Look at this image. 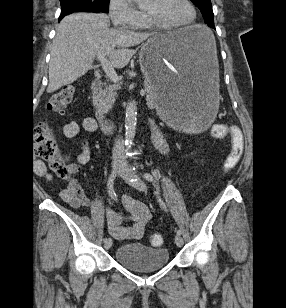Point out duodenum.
I'll return each instance as SVG.
<instances>
[{"mask_svg": "<svg viewBox=\"0 0 286 308\" xmlns=\"http://www.w3.org/2000/svg\"><path fill=\"white\" fill-rule=\"evenodd\" d=\"M102 87H103V81L101 79H95L91 84L92 94L95 97H97V95L101 91ZM98 123H99L100 127L102 128V130L105 131L108 134L111 133L115 128V125L112 122L108 121L107 119H105L101 116L98 118Z\"/></svg>", "mask_w": 286, "mask_h": 308, "instance_id": "1", "label": "duodenum"}]
</instances>
